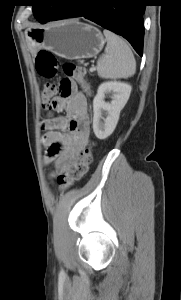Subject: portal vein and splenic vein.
<instances>
[{
	"label": "portal vein and splenic vein",
	"instance_id": "18ae733b",
	"mask_svg": "<svg viewBox=\"0 0 181 300\" xmlns=\"http://www.w3.org/2000/svg\"><path fill=\"white\" fill-rule=\"evenodd\" d=\"M94 71H95L94 67L90 68V72H94Z\"/></svg>",
	"mask_w": 181,
	"mask_h": 300
}]
</instances>
